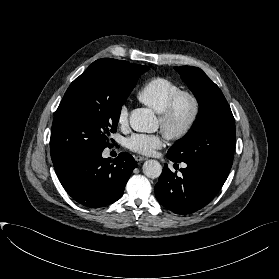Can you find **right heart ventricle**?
Returning a JSON list of instances; mask_svg holds the SVG:
<instances>
[{
	"instance_id": "right-heart-ventricle-1",
	"label": "right heart ventricle",
	"mask_w": 279,
	"mask_h": 279,
	"mask_svg": "<svg viewBox=\"0 0 279 279\" xmlns=\"http://www.w3.org/2000/svg\"><path fill=\"white\" fill-rule=\"evenodd\" d=\"M178 91L180 86L165 77H155L144 84L138 93L139 100L156 113L165 109L169 99Z\"/></svg>"
}]
</instances>
